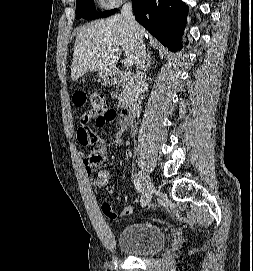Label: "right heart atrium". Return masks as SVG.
Returning <instances> with one entry per match:
<instances>
[{"mask_svg": "<svg viewBox=\"0 0 253 271\" xmlns=\"http://www.w3.org/2000/svg\"><path fill=\"white\" fill-rule=\"evenodd\" d=\"M98 1L105 8H113L122 2V0H98Z\"/></svg>", "mask_w": 253, "mask_h": 271, "instance_id": "right-heart-atrium-1", "label": "right heart atrium"}]
</instances>
